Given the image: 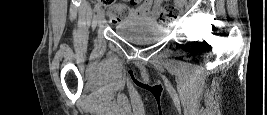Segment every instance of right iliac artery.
Segmentation results:
<instances>
[{
  "instance_id": "1",
  "label": "right iliac artery",
  "mask_w": 267,
  "mask_h": 115,
  "mask_svg": "<svg viewBox=\"0 0 267 115\" xmlns=\"http://www.w3.org/2000/svg\"><path fill=\"white\" fill-rule=\"evenodd\" d=\"M99 8H100V3H97L95 5L94 11L97 12L99 10Z\"/></svg>"
}]
</instances>
